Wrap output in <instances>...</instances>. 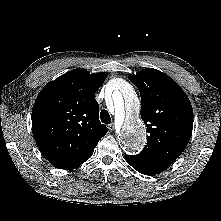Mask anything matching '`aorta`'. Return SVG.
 <instances>
[{"label": "aorta", "instance_id": "1", "mask_svg": "<svg viewBox=\"0 0 221 221\" xmlns=\"http://www.w3.org/2000/svg\"><path fill=\"white\" fill-rule=\"evenodd\" d=\"M122 90L112 94L115 120L122 125L121 143L126 152L136 154L146 143V129L139 118V99L134 88L127 82L121 83Z\"/></svg>", "mask_w": 221, "mask_h": 221}]
</instances>
